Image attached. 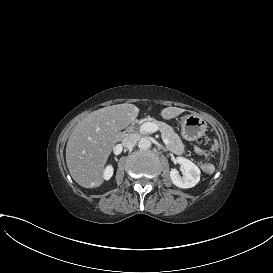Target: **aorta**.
<instances>
[{
	"label": "aorta",
	"instance_id": "1",
	"mask_svg": "<svg viewBox=\"0 0 273 273\" xmlns=\"http://www.w3.org/2000/svg\"><path fill=\"white\" fill-rule=\"evenodd\" d=\"M138 146L142 150H147L151 147V141L148 138L143 137L139 140Z\"/></svg>",
	"mask_w": 273,
	"mask_h": 273
}]
</instances>
